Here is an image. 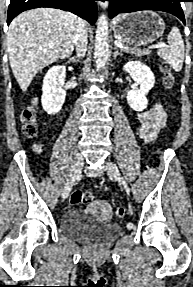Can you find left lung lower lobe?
I'll list each match as a JSON object with an SVG mask.
<instances>
[{"label": "left lung lower lobe", "mask_w": 193, "mask_h": 287, "mask_svg": "<svg viewBox=\"0 0 193 287\" xmlns=\"http://www.w3.org/2000/svg\"><path fill=\"white\" fill-rule=\"evenodd\" d=\"M109 15L113 18L119 13H130L141 10H158L171 13L185 24V17L181 8L182 0H107Z\"/></svg>", "instance_id": "1"}]
</instances>
